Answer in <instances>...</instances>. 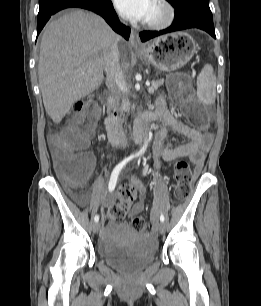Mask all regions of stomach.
Segmentation results:
<instances>
[{"label":"stomach","instance_id":"1","mask_svg":"<svg viewBox=\"0 0 261 306\" xmlns=\"http://www.w3.org/2000/svg\"><path fill=\"white\" fill-rule=\"evenodd\" d=\"M196 48L194 39L188 33L175 32L146 43L137 55L159 71L171 72L188 63Z\"/></svg>","mask_w":261,"mask_h":306}]
</instances>
